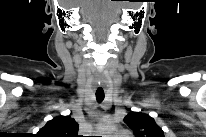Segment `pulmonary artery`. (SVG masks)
Instances as JSON below:
<instances>
[{
	"label": "pulmonary artery",
	"mask_w": 206,
	"mask_h": 137,
	"mask_svg": "<svg viewBox=\"0 0 206 137\" xmlns=\"http://www.w3.org/2000/svg\"><path fill=\"white\" fill-rule=\"evenodd\" d=\"M112 137H129L126 131H117L115 132Z\"/></svg>",
	"instance_id": "obj_1"
}]
</instances>
